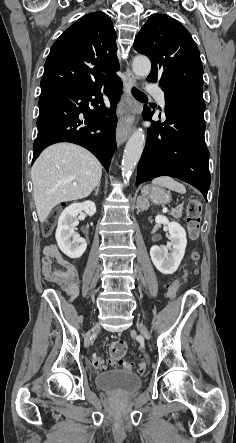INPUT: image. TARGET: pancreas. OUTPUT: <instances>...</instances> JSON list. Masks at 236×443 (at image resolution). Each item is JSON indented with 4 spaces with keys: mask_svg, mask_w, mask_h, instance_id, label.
<instances>
[{
    "mask_svg": "<svg viewBox=\"0 0 236 443\" xmlns=\"http://www.w3.org/2000/svg\"><path fill=\"white\" fill-rule=\"evenodd\" d=\"M182 211H183V207L182 206H178L177 208L173 209L170 212V215H172L175 219H179L182 216Z\"/></svg>",
    "mask_w": 236,
    "mask_h": 443,
    "instance_id": "pancreas-1",
    "label": "pancreas"
}]
</instances>
